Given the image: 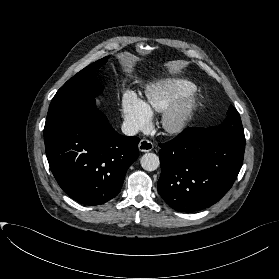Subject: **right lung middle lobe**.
Listing matches in <instances>:
<instances>
[{
	"instance_id": "obj_1",
	"label": "right lung middle lobe",
	"mask_w": 279,
	"mask_h": 279,
	"mask_svg": "<svg viewBox=\"0 0 279 279\" xmlns=\"http://www.w3.org/2000/svg\"><path fill=\"white\" fill-rule=\"evenodd\" d=\"M107 59L108 57H104L85 67L58 90L49 106L46 127L63 118L80 103L93 100L102 93L95 70L105 64Z\"/></svg>"
}]
</instances>
